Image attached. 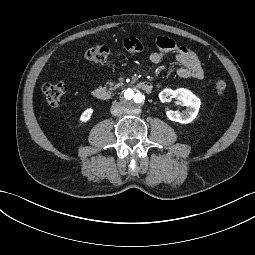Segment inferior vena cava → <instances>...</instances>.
Masks as SVG:
<instances>
[{"label":"inferior vena cava","instance_id":"inferior-vena-cava-1","mask_svg":"<svg viewBox=\"0 0 255 255\" xmlns=\"http://www.w3.org/2000/svg\"><path fill=\"white\" fill-rule=\"evenodd\" d=\"M110 111L113 116H120L125 113V108H123L120 103L114 102L111 106Z\"/></svg>","mask_w":255,"mask_h":255}]
</instances>
